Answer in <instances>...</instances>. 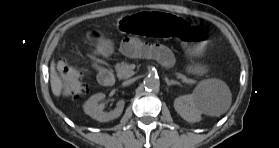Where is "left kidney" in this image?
<instances>
[{
  "instance_id": "5707ae66",
  "label": "left kidney",
  "mask_w": 279,
  "mask_h": 148,
  "mask_svg": "<svg viewBox=\"0 0 279 148\" xmlns=\"http://www.w3.org/2000/svg\"><path fill=\"white\" fill-rule=\"evenodd\" d=\"M174 108L184 120L192 123L200 121L206 109L203 100L195 93L176 98Z\"/></svg>"
}]
</instances>
